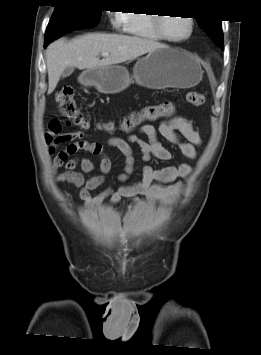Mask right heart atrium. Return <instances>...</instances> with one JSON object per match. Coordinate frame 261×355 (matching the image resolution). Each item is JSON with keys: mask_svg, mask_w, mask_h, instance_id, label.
Returning a JSON list of instances; mask_svg holds the SVG:
<instances>
[{"mask_svg": "<svg viewBox=\"0 0 261 355\" xmlns=\"http://www.w3.org/2000/svg\"><path fill=\"white\" fill-rule=\"evenodd\" d=\"M111 23L117 30H126L128 18L125 12H116L111 14Z\"/></svg>", "mask_w": 261, "mask_h": 355, "instance_id": "d8ad5b80", "label": "right heart atrium"}]
</instances>
